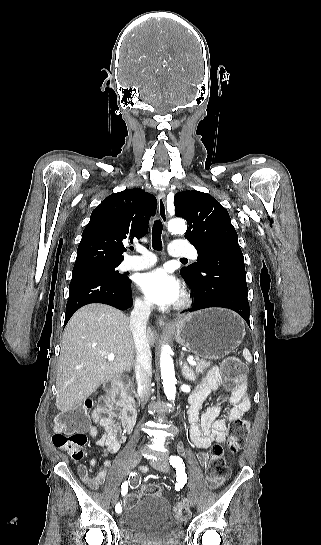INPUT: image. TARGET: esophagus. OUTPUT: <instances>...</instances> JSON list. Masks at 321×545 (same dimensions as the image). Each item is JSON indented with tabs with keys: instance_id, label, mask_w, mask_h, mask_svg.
Returning <instances> with one entry per match:
<instances>
[{
	"instance_id": "34e87169",
	"label": "esophagus",
	"mask_w": 321,
	"mask_h": 545,
	"mask_svg": "<svg viewBox=\"0 0 321 545\" xmlns=\"http://www.w3.org/2000/svg\"><path fill=\"white\" fill-rule=\"evenodd\" d=\"M157 200H158V213H159V216H160L161 221L163 222V224L166 225L168 217H167V210H166V203H165V194L163 192H160L158 194ZM166 235L168 236L169 234L166 233ZM156 325L158 327H165V328H173L174 327L173 323L166 322L162 317H160V318H158L156 320Z\"/></svg>"
}]
</instances>
